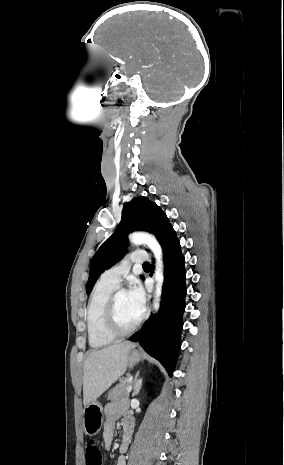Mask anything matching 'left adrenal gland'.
<instances>
[{
  "mask_svg": "<svg viewBox=\"0 0 284 465\" xmlns=\"http://www.w3.org/2000/svg\"><path fill=\"white\" fill-rule=\"evenodd\" d=\"M138 377H139V371L138 373H136L134 381H132V385H133L132 397H136V395H138L141 389L142 379H138Z\"/></svg>",
  "mask_w": 284,
  "mask_h": 465,
  "instance_id": "obj_1",
  "label": "left adrenal gland"
}]
</instances>
